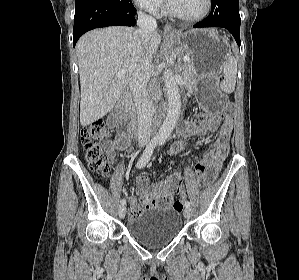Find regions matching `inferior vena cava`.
Instances as JSON below:
<instances>
[{"mask_svg": "<svg viewBox=\"0 0 299 280\" xmlns=\"http://www.w3.org/2000/svg\"><path fill=\"white\" fill-rule=\"evenodd\" d=\"M137 25L143 58L132 74L129 87L137 113L138 141L146 144L150 140L154 106L148 97L147 82L152 74V55L147 51L151 34L157 28L156 20L142 11L138 12Z\"/></svg>", "mask_w": 299, "mask_h": 280, "instance_id": "inferior-vena-cava-1", "label": "inferior vena cava"}]
</instances>
